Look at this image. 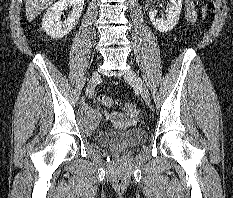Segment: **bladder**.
<instances>
[{
  "label": "bladder",
  "mask_w": 233,
  "mask_h": 198,
  "mask_svg": "<svg viewBox=\"0 0 233 198\" xmlns=\"http://www.w3.org/2000/svg\"><path fill=\"white\" fill-rule=\"evenodd\" d=\"M82 125L88 131H95L101 121V112L98 109H88L81 117ZM147 133L140 127L128 130H111L100 136L103 145L117 150H125L144 143Z\"/></svg>",
  "instance_id": "31cf9c89"
}]
</instances>
